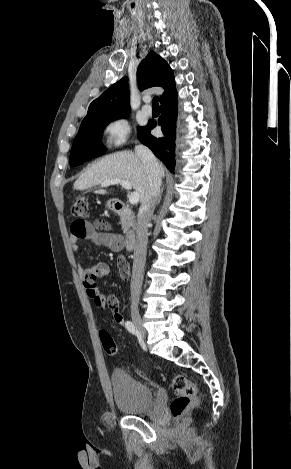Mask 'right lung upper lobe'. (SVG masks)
<instances>
[{
    "label": "right lung upper lobe",
    "instance_id": "right-lung-upper-lobe-1",
    "mask_svg": "<svg viewBox=\"0 0 291 469\" xmlns=\"http://www.w3.org/2000/svg\"><path fill=\"white\" fill-rule=\"evenodd\" d=\"M140 90L159 86L164 89L160 102L176 92L173 72L167 62L151 51L141 61L137 70ZM130 112L127 78L124 77L107 89L89 106L84 120L111 117Z\"/></svg>",
    "mask_w": 291,
    "mask_h": 469
}]
</instances>
